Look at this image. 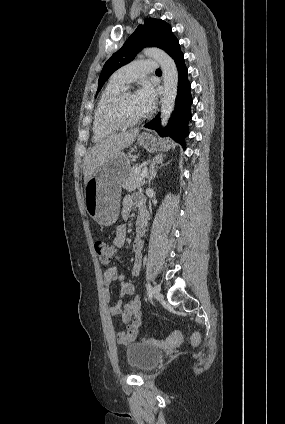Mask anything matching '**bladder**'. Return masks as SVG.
<instances>
[{
    "label": "bladder",
    "mask_w": 285,
    "mask_h": 424,
    "mask_svg": "<svg viewBox=\"0 0 285 424\" xmlns=\"http://www.w3.org/2000/svg\"><path fill=\"white\" fill-rule=\"evenodd\" d=\"M125 357L131 369L148 372L160 363L163 351L155 346L134 342L126 346Z\"/></svg>",
    "instance_id": "obj_1"
}]
</instances>
